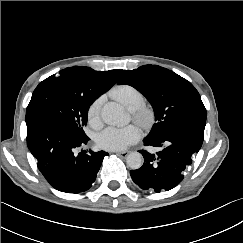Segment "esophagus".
<instances>
[{
    "label": "esophagus",
    "instance_id": "obj_1",
    "mask_svg": "<svg viewBox=\"0 0 243 243\" xmlns=\"http://www.w3.org/2000/svg\"><path fill=\"white\" fill-rule=\"evenodd\" d=\"M116 154L122 158H125L129 154V151H119V152H116Z\"/></svg>",
    "mask_w": 243,
    "mask_h": 243
}]
</instances>
